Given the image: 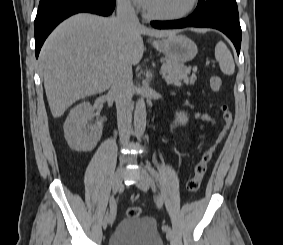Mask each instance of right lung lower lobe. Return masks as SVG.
Returning <instances> with one entry per match:
<instances>
[{"label": "right lung lower lobe", "mask_w": 283, "mask_h": 245, "mask_svg": "<svg viewBox=\"0 0 283 245\" xmlns=\"http://www.w3.org/2000/svg\"><path fill=\"white\" fill-rule=\"evenodd\" d=\"M115 2L116 0H40L34 23L36 57L47 36L64 19L79 12L108 16L113 12Z\"/></svg>", "instance_id": "98d812e1"}]
</instances>
